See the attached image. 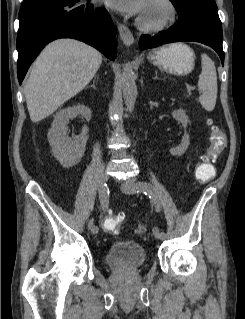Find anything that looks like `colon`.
<instances>
[{"mask_svg":"<svg viewBox=\"0 0 245 319\" xmlns=\"http://www.w3.org/2000/svg\"><path fill=\"white\" fill-rule=\"evenodd\" d=\"M208 124L211 126L210 145L208 151L201 156L200 162L195 169V177L200 182H208L215 176L216 169L214 163L220 158L226 145L224 133L213 124L212 120H209ZM125 219L126 215L122 212L109 214L103 222V228L108 233L118 235L120 226Z\"/></svg>","mask_w":245,"mask_h":319,"instance_id":"colon-1","label":"colon"}]
</instances>
